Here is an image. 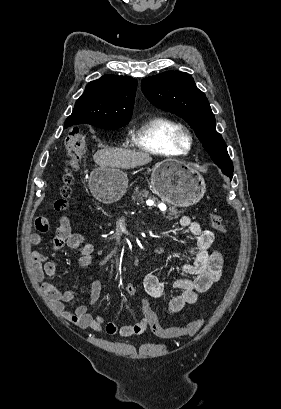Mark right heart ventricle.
<instances>
[{
  "instance_id": "obj_1",
  "label": "right heart ventricle",
  "mask_w": 281,
  "mask_h": 409,
  "mask_svg": "<svg viewBox=\"0 0 281 409\" xmlns=\"http://www.w3.org/2000/svg\"><path fill=\"white\" fill-rule=\"evenodd\" d=\"M184 125L166 115L148 118L136 132V143L140 149L160 157L182 156L185 152L178 144Z\"/></svg>"
}]
</instances>
